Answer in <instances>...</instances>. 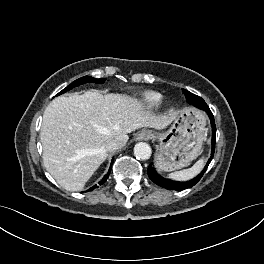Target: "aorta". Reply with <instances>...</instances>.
I'll return each mask as SVG.
<instances>
[{
	"instance_id": "obj_1",
	"label": "aorta",
	"mask_w": 264,
	"mask_h": 264,
	"mask_svg": "<svg viewBox=\"0 0 264 264\" xmlns=\"http://www.w3.org/2000/svg\"><path fill=\"white\" fill-rule=\"evenodd\" d=\"M152 153L151 147L146 142H139L134 147V155L139 160H147Z\"/></svg>"
}]
</instances>
